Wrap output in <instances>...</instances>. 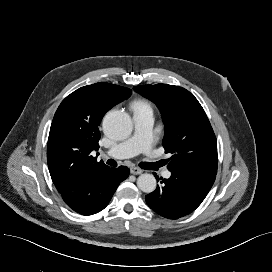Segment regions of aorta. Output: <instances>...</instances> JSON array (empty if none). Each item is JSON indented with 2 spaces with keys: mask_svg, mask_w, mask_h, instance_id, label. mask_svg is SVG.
Masks as SVG:
<instances>
[{
  "mask_svg": "<svg viewBox=\"0 0 272 272\" xmlns=\"http://www.w3.org/2000/svg\"><path fill=\"white\" fill-rule=\"evenodd\" d=\"M132 128L130 116L120 110L108 112L103 119V131L113 139L127 138L131 134ZM137 186L141 191L151 193L156 189V178L152 174H141L137 179Z\"/></svg>",
  "mask_w": 272,
  "mask_h": 272,
  "instance_id": "1",
  "label": "aorta"
}]
</instances>
